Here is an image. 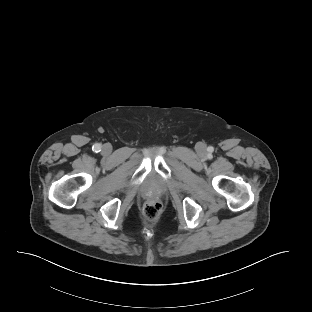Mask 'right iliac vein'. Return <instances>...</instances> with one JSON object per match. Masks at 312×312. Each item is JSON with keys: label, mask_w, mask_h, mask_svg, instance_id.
I'll return each instance as SVG.
<instances>
[{"label": "right iliac vein", "mask_w": 312, "mask_h": 312, "mask_svg": "<svg viewBox=\"0 0 312 312\" xmlns=\"http://www.w3.org/2000/svg\"><path fill=\"white\" fill-rule=\"evenodd\" d=\"M112 148L109 144H105L103 147H102V152L104 154H109L111 152Z\"/></svg>", "instance_id": "1"}]
</instances>
